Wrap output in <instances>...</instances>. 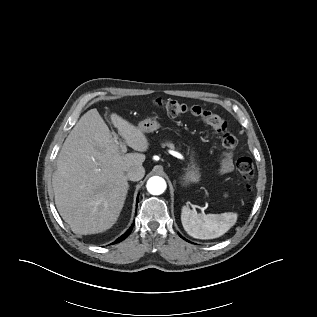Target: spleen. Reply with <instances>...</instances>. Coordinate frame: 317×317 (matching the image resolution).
<instances>
[{"instance_id":"3e777b00","label":"spleen","mask_w":317,"mask_h":317,"mask_svg":"<svg viewBox=\"0 0 317 317\" xmlns=\"http://www.w3.org/2000/svg\"><path fill=\"white\" fill-rule=\"evenodd\" d=\"M237 213L199 214L183 206L181 222L184 230L197 239H213L225 234L237 221Z\"/></svg>"}]
</instances>
